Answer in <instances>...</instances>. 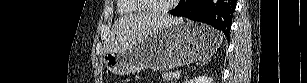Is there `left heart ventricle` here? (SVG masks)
Returning a JSON list of instances; mask_svg holds the SVG:
<instances>
[{
  "mask_svg": "<svg viewBox=\"0 0 307 83\" xmlns=\"http://www.w3.org/2000/svg\"><path fill=\"white\" fill-rule=\"evenodd\" d=\"M170 1L171 0H143L149 10H157L160 7L165 6Z\"/></svg>",
  "mask_w": 307,
  "mask_h": 83,
  "instance_id": "obj_1",
  "label": "left heart ventricle"
}]
</instances>
